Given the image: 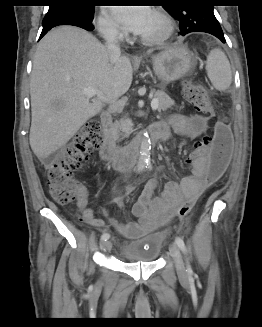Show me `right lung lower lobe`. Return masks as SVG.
Returning <instances> with one entry per match:
<instances>
[{
	"label": "right lung lower lobe",
	"instance_id": "98d812e1",
	"mask_svg": "<svg viewBox=\"0 0 262 327\" xmlns=\"http://www.w3.org/2000/svg\"><path fill=\"white\" fill-rule=\"evenodd\" d=\"M92 20L93 18H86L74 13H54L46 15L42 22L43 29L39 39H41L50 29L59 25H73L92 31L94 29Z\"/></svg>",
	"mask_w": 262,
	"mask_h": 327
}]
</instances>
